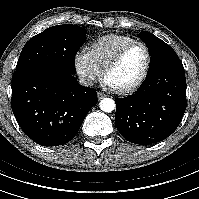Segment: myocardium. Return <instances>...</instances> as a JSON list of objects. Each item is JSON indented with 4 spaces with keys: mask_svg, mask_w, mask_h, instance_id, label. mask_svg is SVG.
Returning a JSON list of instances; mask_svg holds the SVG:
<instances>
[{
    "mask_svg": "<svg viewBox=\"0 0 199 199\" xmlns=\"http://www.w3.org/2000/svg\"><path fill=\"white\" fill-rule=\"evenodd\" d=\"M135 45L142 46L146 52L147 61H146L145 68H144L142 74L140 75V77L134 83H132L128 86H125V87H121V88L111 87L112 90L115 91L116 93L127 94V93L136 91L145 82V80L147 79L148 74L150 72L151 65H152V54H151L150 48L148 47V45L146 43H144L142 41H133V42L125 45L124 47H122L117 52V54L112 58V60L105 66V68L102 71L103 79L105 80L106 75L120 64L121 60L123 59V57L127 53V51Z\"/></svg>",
    "mask_w": 199,
    "mask_h": 199,
    "instance_id": "1",
    "label": "myocardium"
}]
</instances>
